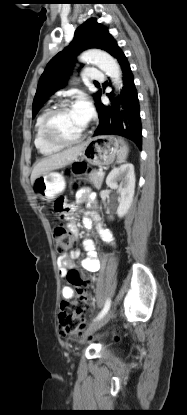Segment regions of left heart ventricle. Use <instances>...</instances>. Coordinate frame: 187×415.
<instances>
[{"mask_svg":"<svg viewBox=\"0 0 187 415\" xmlns=\"http://www.w3.org/2000/svg\"><path fill=\"white\" fill-rule=\"evenodd\" d=\"M86 123L76 113L73 107L61 111L54 119L53 130L65 139H71L79 135L85 128Z\"/></svg>","mask_w":187,"mask_h":415,"instance_id":"obj_1","label":"left heart ventricle"}]
</instances>
